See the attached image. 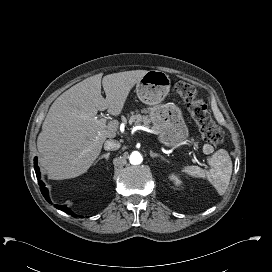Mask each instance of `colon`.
I'll use <instances>...</instances> for the list:
<instances>
[{
  "label": "colon",
  "instance_id": "1",
  "mask_svg": "<svg viewBox=\"0 0 272 272\" xmlns=\"http://www.w3.org/2000/svg\"><path fill=\"white\" fill-rule=\"evenodd\" d=\"M175 94L187 105L188 110L197 123L203 139L211 144L219 145L223 141V133L212 121L205 102L199 97L196 88L185 81L174 84Z\"/></svg>",
  "mask_w": 272,
  "mask_h": 272
}]
</instances>
